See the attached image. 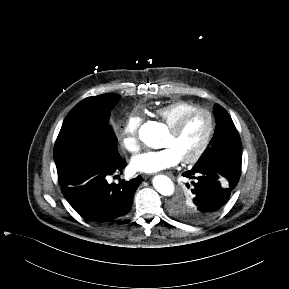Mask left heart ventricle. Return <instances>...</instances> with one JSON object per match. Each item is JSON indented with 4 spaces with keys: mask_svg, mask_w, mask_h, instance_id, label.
<instances>
[{
    "mask_svg": "<svg viewBox=\"0 0 289 289\" xmlns=\"http://www.w3.org/2000/svg\"><path fill=\"white\" fill-rule=\"evenodd\" d=\"M209 130V119L205 114L191 117L180 133L170 131L163 141V147L173 148L181 159L192 156L204 142Z\"/></svg>",
    "mask_w": 289,
    "mask_h": 289,
    "instance_id": "1",
    "label": "left heart ventricle"
}]
</instances>
